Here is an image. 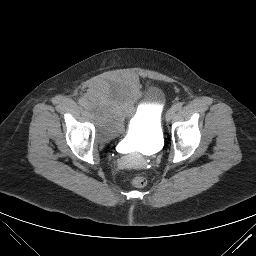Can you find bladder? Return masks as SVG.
Segmentation results:
<instances>
[{"label":"bladder","instance_id":"31cf9c89","mask_svg":"<svg viewBox=\"0 0 256 256\" xmlns=\"http://www.w3.org/2000/svg\"><path fill=\"white\" fill-rule=\"evenodd\" d=\"M143 99L145 104L137 113ZM164 102V92L158 87L144 89L135 79L109 76L99 79L89 90L85 107L99 140L108 142L124 134V122L130 116L134 119L125 133L128 142L152 149L163 139Z\"/></svg>","mask_w":256,"mask_h":256}]
</instances>
